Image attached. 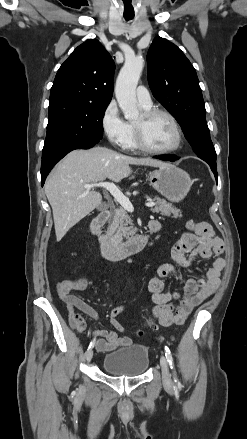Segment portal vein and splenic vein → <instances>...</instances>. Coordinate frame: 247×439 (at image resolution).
Listing matches in <instances>:
<instances>
[{"mask_svg": "<svg viewBox=\"0 0 247 439\" xmlns=\"http://www.w3.org/2000/svg\"><path fill=\"white\" fill-rule=\"evenodd\" d=\"M84 187L87 190H90L94 187H103L107 189L113 197L120 203V205L128 212H133L134 207L131 204L130 200L119 190V188L111 182H99V183H92V184H85ZM156 203L154 202H147L145 203V206L147 207H153Z\"/></svg>", "mask_w": 247, "mask_h": 439, "instance_id": "18ae733b", "label": "portal vein and splenic vein"}]
</instances>
